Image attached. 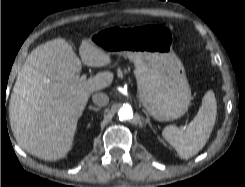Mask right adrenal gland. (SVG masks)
Instances as JSON below:
<instances>
[{"label":"right adrenal gland","mask_w":245,"mask_h":187,"mask_svg":"<svg viewBox=\"0 0 245 187\" xmlns=\"http://www.w3.org/2000/svg\"><path fill=\"white\" fill-rule=\"evenodd\" d=\"M89 110H93V111H99L100 110V107H94V106H90L89 107Z\"/></svg>","instance_id":"obj_1"}]
</instances>
